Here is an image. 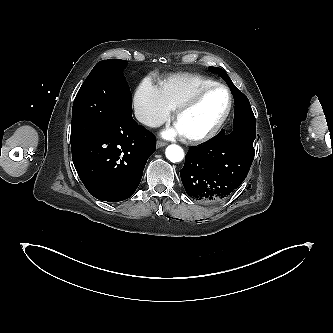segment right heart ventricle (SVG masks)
<instances>
[{
	"label": "right heart ventricle",
	"instance_id": "right-heart-ventricle-1",
	"mask_svg": "<svg viewBox=\"0 0 333 333\" xmlns=\"http://www.w3.org/2000/svg\"><path fill=\"white\" fill-rule=\"evenodd\" d=\"M216 83L213 79L193 73H178L161 81L159 90L171 110H176L199 89Z\"/></svg>",
	"mask_w": 333,
	"mask_h": 333
}]
</instances>
